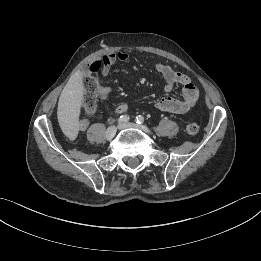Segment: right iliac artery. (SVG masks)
<instances>
[{
	"instance_id": "obj_1",
	"label": "right iliac artery",
	"mask_w": 261,
	"mask_h": 261,
	"mask_svg": "<svg viewBox=\"0 0 261 261\" xmlns=\"http://www.w3.org/2000/svg\"><path fill=\"white\" fill-rule=\"evenodd\" d=\"M129 116L128 115H122L120 116V118L118 119V124L121 125V124H124V123H127L129 121Z\"/></svg>"
}]
</instances>
